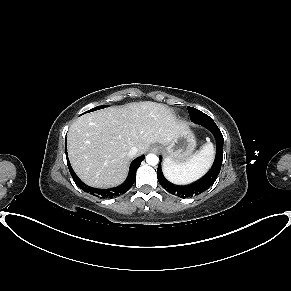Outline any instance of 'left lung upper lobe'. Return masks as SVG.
Listing matches in <instances>:
<instances>
[{"label":"left lung upper lobe","mask_w":291,"mask_h":291,"mask_svg":"<svg viewBox=\"0 0 291 291\" xmlns=\"http://www.w3.org/2000/svg\"><path fill=\"white\" fill-rule=\"evenodd\" d=\"M187 109H188V112H189V115H190V119L191 120H193V116L196 114V113H198L199 112V110H197V109H195V108H193V107H187ZM178 190V189H177ZM174 195H179L177 192H175V194Z\"/></svg>","instance_id":"5c2ea615"}]
</instances>
